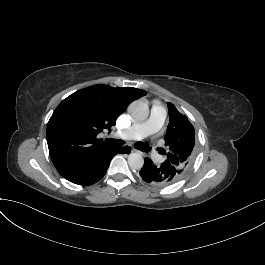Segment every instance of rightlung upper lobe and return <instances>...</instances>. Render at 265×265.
<instances>
[{"mask_svg":"<svg viewBox=\"0 0 265 265\" xmlns=\"http://www.w3.org/2000/svg\"><path fill=\"white\" fill-rule=\"evenodd\" d=\"M146 94L133 87L98 84L64 99L47 125L49 153L58 172L67 180L82 176L112 148L97 135L111 131L127 106Z\"/></svg>","mask_w":265,"mask_h":265,"instance_id":"cb5924a9","label":"right lung upper lobe"}]
</instances>
